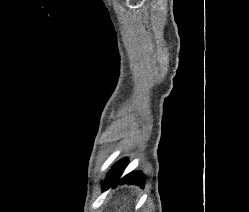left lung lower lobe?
Instances as JSON below:
<instances>
[{
    "label": "left lung lower lobe",
    "mask_w": 249,
    "mask_h": 212,
    "mask_svg": "<svg viewBox=\"0 0 249 212\" xmlns=\"http://www.w3.org/2000/svg\"><path fill=\"white\" fill-rule=\"evenodd\" d=\"M128 160L122 159L118 161L112 169L108 172L107 178H106V184L104 186V189H107L109 186L117 185V184H136L143 188L144 186V176L141 172L136 171L127 174L123 178L119 179L121 176L123 170L127 166Z\"/></svg>",
    "instance_id": "obj_1"
}]
</instances>
